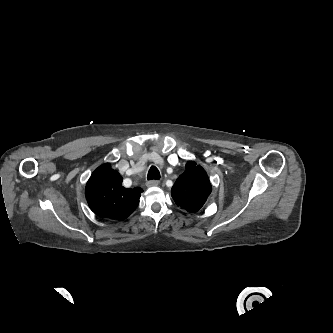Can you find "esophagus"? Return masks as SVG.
Instances as JSON below:
<instances>
[{
	"mask_svg": "<svg viewBox=\"0 0 333 333\" xmlns=\"http://www.w3.org/2000/svg\"><path fill=\"white\" fill-rule=\"evenodd\" d=\"M159 181L158 180H150L146 183L147 187H154V186H158Z\"/></svg>",
	"mask_w": 333,
	"mask_h": 333,
	"instance_id": "obj_1",
	"label": "esophagus"
}]
</instances>
